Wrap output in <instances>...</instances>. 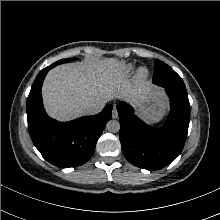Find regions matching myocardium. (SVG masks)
Instances as JSON below:
<instances>
[{"label":"myocardium","mask_w":220,"mask_h":220,"mask_svg":"<svg viewBox=\"0 0 220 220\" xmlns=\"http://www.w3.org/2000/svg\"><path fill=\"white\" fill-rule=\"evenodd\" d=\"M146 75H147V71L145 69H141L139 71V74H138L139 78L143 79L146 77Z\"/></svg>","instance_id":"f54148a6"}]
</instances>
